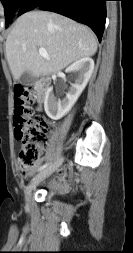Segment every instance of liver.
<instances>
[{"instance_id": "6515ba94", "label": "liver", "mask_w": 133, "mask_h": 253, "mask_svg": "<svg viewBox=\"0 0 133 253\" xmlns=\"http://www.w3.org/2000/svg\"><path fill=\"white\" fill-rule=\"evenodd\" d=\"M6 58L14 77L53 74L97 51V40L88 27L57 13L31 11L20 16L6 40ZM45 48L48 59L41 56Z\"/></svg>"}]
</instances>
